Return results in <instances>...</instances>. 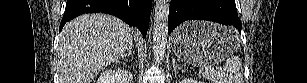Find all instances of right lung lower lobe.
Returning <instances> with one entry per match:
<instances>
[{
	"instance_id": "right-lung-lower-lobe-1",
	"label": "right lung lower lobe",
	"mask_w": 307,
	"mask_h": 83,
	"mask_svg": "<svg viewBox=\"0 0 307 83\" xmlns=\"http://www.w3.org/2000/svg\"><path fill=\"white\" fill-rule=\"evenodd\" d=\"M152 0H67L61 30L65 23L85 13H107L136 26L145 36L148 30Z\"/></svg>"
}]
</instances>
